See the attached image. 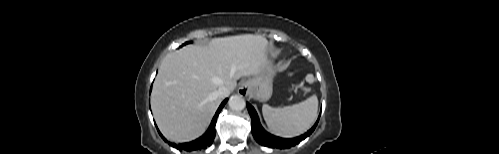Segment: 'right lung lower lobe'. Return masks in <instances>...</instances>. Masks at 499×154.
I'll return each mask as SVG.
<instances>
[{"label":"right lung lower lobe","instance_id":"right-lung-lower-lobe-1","mask_svg":"<svg viewBox=\"0 0 499 154\" xmlns=\"http://www.w3.org/2000/svg\"><path fill=\"white\" fill-rule=\"evenodd\" d=\"M228 99H225L221 105L219 106L211 124H210V127L209 129L207 130V132L201 136L200 138H198L197 140L195 141H192V142H189V143H184V144H173L171 142H168L169 145L177 148L178 150H185V151H193V150H197V149H204L208 146H210L214 140V137H215V124H216V120H217V116L219 115L220 111L222 110V108L224 107V105L226 104ZM159 132V130H158ZM160 136L164 139L165 142H167V140L162 136V134L159 132Z\"/></svg>","mask_w":499,"mask_h":154}]
</instances>
